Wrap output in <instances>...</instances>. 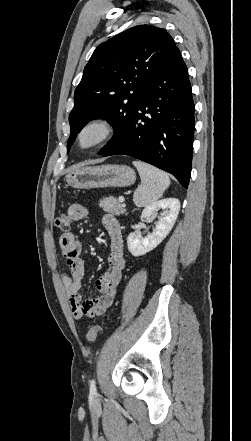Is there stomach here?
<instances>
[{"label":"stomach","instance_id":"0dacf381","mask_svg":"<svg viewBox=\"0 0 251 441\" xmlns=\"http://www.w3.org/2000/svg\"><path fill=\"white\" fill-rule=\"evenodd\" d=\"M65 180L75 189L127 187L135 182L136 174L129 166L107 164L77 168Z\"/></svg>","mask_w":251,"mask_h":441}]
</instances>
